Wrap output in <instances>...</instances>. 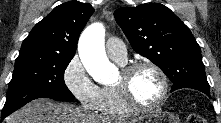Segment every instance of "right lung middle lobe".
<instances>
[{
	"label": "right lung middle lobe",
	"mask_w": 221,
	"mask_h": 123,
	"mask_svg": "<svg viewBox=\"0 0 221 123\" xmlns=\"http://www.w3.org/2000/svg\"><path fill=\"white\" fill-rule=\"evenodd\" d=\"M74 55L19 53L1 116L6 117L37 98L73 100L64 71Z\"/></svg>",
	"instance_id": "dd1d6c3e"
}]
</instances>
